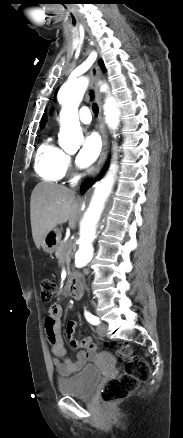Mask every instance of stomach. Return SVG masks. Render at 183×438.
<instances>
[{"label":"stomach","instance_id":"obj_1","mask_svg":"<svg viewBox=\"0 0 183 438\" xmlns=\"http://www.w3.org/2000/svg\"><path fill=\"white\" fill-rule=\"evenodd\" d=\"M61 240V232L57 227L52 228L43 238L41 247L44 252L52 254L56 251Z\"/></svg>","mask_w":183,"mask_h":438}]
</instances>
